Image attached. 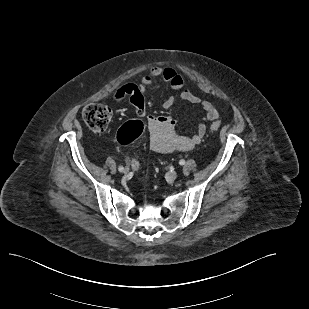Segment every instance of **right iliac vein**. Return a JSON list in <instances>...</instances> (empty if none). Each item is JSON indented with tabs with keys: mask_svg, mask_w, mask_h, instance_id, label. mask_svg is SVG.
<instances>
[{
	"mask_svg": "<svg viewBox=\"0 0 309 309\" xmlns=\"http://www.w3.org/2000/svg\"><path fill=\"white\" fill-rule=\"evenodd\" d=\"M123 173H124V174H128V173H129V168H125V169L123 170Z\"/></svg>",
	"mask_w": 309,
	"mask_h": 309,
	"instance_id": "right-iliac-vein-1",
	"label": "right iliac vein"
}]
</instances>
